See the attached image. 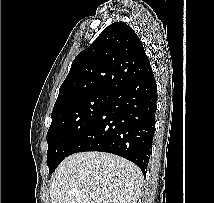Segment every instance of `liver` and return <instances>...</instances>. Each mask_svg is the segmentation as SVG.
Instances as JSON below:
<instances>
[{
  "instance_id": "liver-1",
  "label": "liver",
  "mask_w": 214,
  "mask_h": 203,
  "mask_svg": "<svg viewBox=\"0 0 214 203\" xmlns=\"http://www.w3.org/2000/svg\"><path fill=\"white\" fill-rule=\"evenodd\" d=\"M143 175L132 162L105 152L68 156L52 178V203H136ZM78 189V195L70 193Z\"/></svg>"
}]
</instances>
